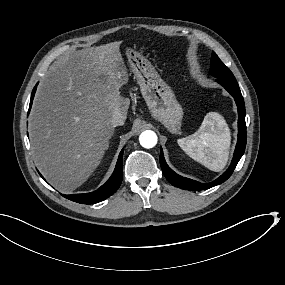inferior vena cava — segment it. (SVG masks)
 Instances as JSON below:
<instances>
[{
    "label": "inferior vena cava",
    "instance_id": "1",
    "mask_svg": "<svg viewBox=\"0 0 285 285\" xmlns=\"http://www.w3.org/2000/svg\"><path fill=\"white\" fill-rule=\"evenodd\" d=\"M125 119L126 117H124L120 111H115L112 116L111 123L114 127L120 126L124 124Z\"/></svg>",
    "mask_w": 285,
    "mask_h": 285
}]
</instances>
